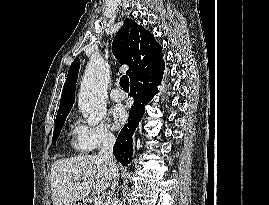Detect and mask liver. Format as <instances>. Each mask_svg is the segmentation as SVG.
<instances>
[{
    "instance_id": "liver-1",
    "label": "liver",
    "mask_w": 269,
    "mask_h": 205,
    "mask_svg": "<svg viewBox=\"0 0 269 205\" xmlns=\"http://www.w3.org/2000/svg\"><path fill=\"white\" fill-rule=\"evenodd\" d=\"M112 180L109 163L95 154L58 159L51 167L53 205H73L91 190L104 192Z\"/></svg>"
}]
</instances>
